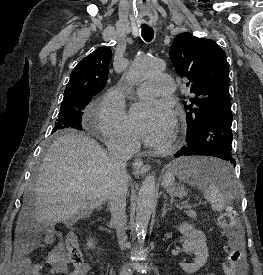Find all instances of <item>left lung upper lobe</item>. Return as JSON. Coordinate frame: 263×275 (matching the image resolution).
<instances>
[{"mask_svg": "<svg viewBox=\"0 0 263 275\" xmlns=\"http://www.w3.org/2000/svg\"><path fill=\"white\" fill-rule=\"evenodd\" d=\"M170 57L176 72L186 77L191 93L184 102L187 132L198 130L205 120L222 109H231L229 68L225 52L211 39L185 32L173 41Z\"/></svg>", "mask_w": 263, "mask_h": 275, "instance_id": "5c2ea615", "label": "left lung upper lobe"}]
</instances>
